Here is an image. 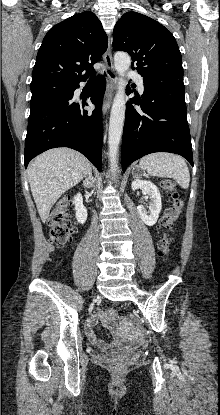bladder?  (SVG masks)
I'll return each instance as SVG.
<instances>
[{
	"mask_svg": "<svg viewBox=\"0 0 220 415\" xmlns=\"http://www.w3.org/2000/svg\"><path fill=\"white\" fill-rule=\"evenodd\" d=\"M136 351H138L136 347L115 348L109 352V355L116 358H126L133 355Z\"/></svg>",
	"mask_w": 220,
	"mask_h": 415,
	"instance_id": "1",
	"label": "bladder"
}]
</instances>
